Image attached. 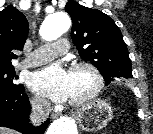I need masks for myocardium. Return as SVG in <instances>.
Returning a JSON list of instances; mask_svg holds the SVG:
<instances>
[{"mask_svg":"<svg viewBox=\"0 0 153 134\" xmlns=\"http://www.w3.org/2000/svg\"><path fill=\"white\" fill-rule=\"evenodd\" d=\"M78 69L88 70L93 76L94 85L93 88L83 97L75 100H69V104L72 106H80L85 104L86 102L90 101L95 96H97L104 87V77L96 65L89 61H78L71 65L70 72Z\"/></svg>","mask_w":153,"mask_h":134,"instance_id":"obj_1","label":"myocardium"}]
</instances>
